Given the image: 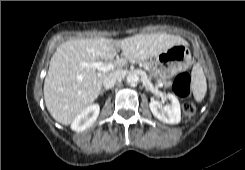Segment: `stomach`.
I'll return each instance as SVG.
<instances>
[{
	"label": "stomach",
	"instance_id": "0dacf381",
	"mask_svg": "<svg viewBox=\"0 0 245 170\" xmlns=\"http://www.w3.org/2000/svg\"><path fill=\"white\" fill-rule=\"evenodd\" d=\"M191 63V55L184 44L175 45L154 57L156 72L164 80L188 69Z\"/></svg>",
	"mask_w": 245,
	"mask_h": 170
}]
</instances>
